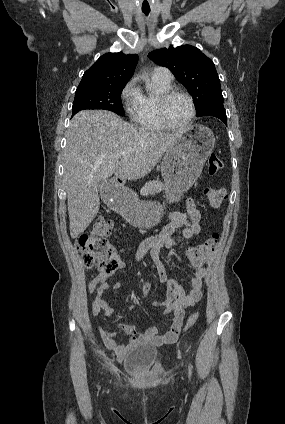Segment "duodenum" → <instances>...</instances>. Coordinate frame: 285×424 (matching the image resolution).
Returning a JSON list of instances; mask_svg holds the SVG:
<instances>
[{"mask_svg":"<svg viewBox=\"0 0 285 424\" xmlns=\"http://www.w3.org/2000/svg\"><path fill=\"white\" fill-rule=\"evenodd\" d=\"M114 188L116 189L117 187H119V186H121L122 185V181L120 180V179H118V178H116L115 179V181H114Z\"/></svg>","mask_w":285,"mask_h":424,"instance_id":"1","label":"duodenum"}]
</instances>
